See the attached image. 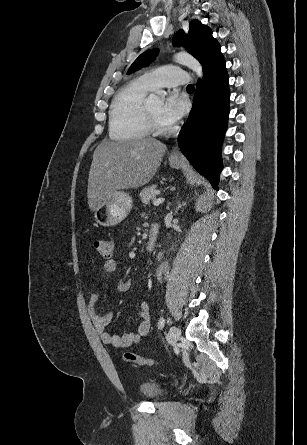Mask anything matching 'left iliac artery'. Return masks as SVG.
<instances>
[{
  "label": "left iliac artery",
  "instance_id": "44dca946",
  "mask_svg": "<svg viewBox=\"0 0 307 445\" xmlns=\"http://www.w3.org/2000/svg\"><path fill=\"white\" fill-rule=\"evenodd\" d=\"M164 326H165V319L163 317H160V319L158 321V328L163 329Z\"/></svg>",
  "mask_w": 307,
  "mask_h": 445
}]
</instances>
